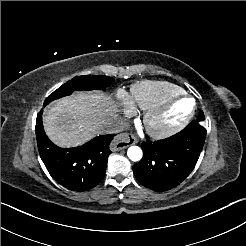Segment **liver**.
Here are the masks:
<instances>
[{"label":"liver","mask_w":246,"mask_h":246,"mask_svg":"<svg viewBox=\"0 0 246 246\" xmlns=\"http://www.w3.org/2000/svg\"><path fill=\"white\" fill-rule=\"evenodd\" d=\"M118 103L101 92H79L54 103L43 118L44 129L56 145H82L107 132L119 118Z\"/></svg>","instance_id":"obj_1"}]
</instances>
